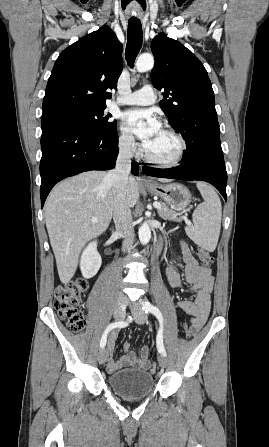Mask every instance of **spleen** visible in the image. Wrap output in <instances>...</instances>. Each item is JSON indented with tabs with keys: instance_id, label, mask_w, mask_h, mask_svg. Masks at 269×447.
I'll use <instances>...</instances> for the list:
<instances>
[{
	"instance_id": "spleen-1",
	"label": "spleen",
	"mask_w": 269,
	"mask_h": 447,
	"mask_svg": "<svg viewBox=\"0 0 269 447\" xmlns=\"http://www.w3.org/2000/svg\"><path fill=\"white\" fill-rule=\"evenodd\" d=\"M204 202L193 212V225H186L185 231L197 245L214 251L221 229L222 206L218 194L206 182L196 184Z\"/></svg>"
}]
</instances>
